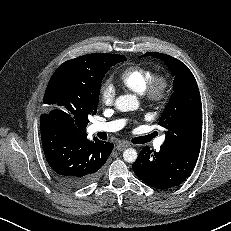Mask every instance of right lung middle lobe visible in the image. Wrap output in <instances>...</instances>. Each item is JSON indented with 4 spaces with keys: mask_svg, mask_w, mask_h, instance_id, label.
Listing matches in <instances>:
<instances>
[{
    "mask_svg": "<svg viewBox=\"0 0 231 231\" xmlns=\"http://www.w3.org/2000/svg\"><path fill=\"white\" fill-rule=\"evenodd\" d=\"M122 55L97 53L61 64L47 85L43 104L46 114L69 128L85 129L88 116L97 113L101 82Z\"/></svg>",
    "mask_w": 231,
    "mask_h": 231,
    "instance_id": "1",
    "label": "right lung middle lobe"
}]
</instances>
